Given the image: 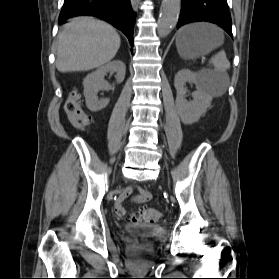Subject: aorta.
<instances>
[{
  "mask_svg": "<svg viewBox=\"0 0 279 279\" xmlns=\"http://www.w3.org/2000/svg\"><path fill=\"white\" fill-rule=\"evenodd\" d=\"M181 0H162L157 31L160 37H166L176 26L180 13Z\"/></svg>",
  "mask_w": 279,
  "mask_h": 279,
  "instance_id": "aorta-1",
  "label": "aorta"
}]
</instances>
